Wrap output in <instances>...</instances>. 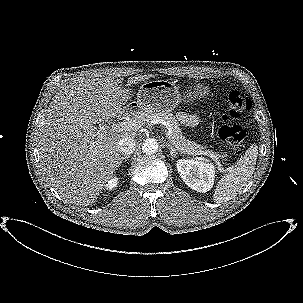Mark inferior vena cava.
<instances>
[{"instance_id":"obj_1","label":"inferior vena cava","mask_w":303,"mask_h":303,"mask_svg":"<svg viewBox=\"0 0 303 303\" xmlns=\"http://www.w3.org/2000/svg\"><path fill=\"white\" fill-rule=\"evenodd\" d=\"M119 150L124 155H130L135 150V140L133 137L124 136L118 143Z\"/></svg>"}]
</instances>
